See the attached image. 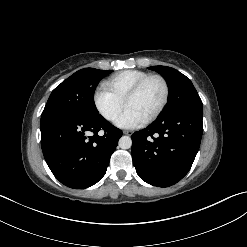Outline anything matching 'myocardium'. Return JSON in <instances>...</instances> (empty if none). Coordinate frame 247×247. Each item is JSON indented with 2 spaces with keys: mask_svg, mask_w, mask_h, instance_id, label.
<instances>
[{
  "mask_svg": "<svg viewBox=\"0 0 247 247\" xmlns=\"http://www.w3.org/2000/svg\"><path fill=\"white\" fill-rule=\"evenodd\" d=\"M151 79H158L162 83L163 88H164V96H163V99L160 105L156 108V110L149 117L146 118V122H152L153 120H155L162 113V111L165 109V107L168 104L169 97H170V86H169L167 79L161 74H149L145 76L144 78H142L141 80H139L129 90V92L127 93L124 99L125 105H127L128 101L132 99L134 96H136L141 91V89L144 87V85Z\"/></svg>",
  "mask_w": 247,
  "mask_h": 247,
  "instance_id": "myocardium-1",
  "label": "myocardium"
}]
</instances>
